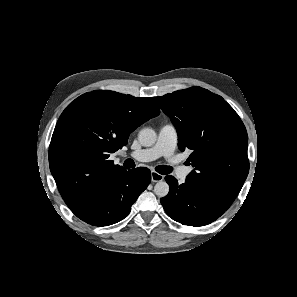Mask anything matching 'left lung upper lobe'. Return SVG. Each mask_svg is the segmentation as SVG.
Here are the masks:
<instances>
[{
  "instance_id": "left-lung-upper-lobe-1",
  "label": "left lung upper lobe",
  "mask_w": 297,
  "mask_h": 297,
  "mask_svg": "<svg viewBox=\"0 0 297 297\" xmlns=\"http://www.w3.org/2000/svg\"><path fill=\"white\" fill-rule=\"evenodd\" d=\"M153 100L175 125L179 149L193 150L188 161L194 170L186 183L228 209L249 172L248 136L238 114L221 96L198 86Z\"/></svg>"
}]
</instances>
